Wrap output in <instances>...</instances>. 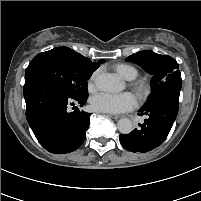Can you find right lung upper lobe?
Segmentation results:
<instances>
[{
  "instance_id": "obj_1",
  "label": "right lung upper lobe",
  "mask_w": 201,
  "mask_h": 201,
  "mask_svg": "<svg viewBox=\"0 0 201 201\" xmlns=\"http://www.w3.org/2000/svg\"><path fill=\"white\" fill-rule=\"evenodd\" d=\"M63 50H65L69 61L74 66H76L80 70L90 73L91 75L99 67V65L104 62V60H99L98 62H92L90 59L80 55L79 53L73 51L68 47H63Z\"/></svg>"
}]
</instances>
